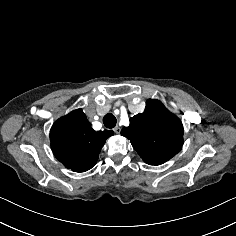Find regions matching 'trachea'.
<instances>
[{
	"instance_id": "1",
	"label": "trachea",
	"mask_w": 236,
	"mask_h": 236,
	"mask_svg": "<svg viewBox=\"0 0 236 236\" xmlns=\"http://www.w3.org/2000/svg\"><path fill=\"white\" fill-rule=\"evenodd\" d=\"M103 123L106 128H114L116 126L117 119L112 113H107L103 118Z\"/></svg>"
}]
</instances>
